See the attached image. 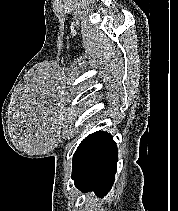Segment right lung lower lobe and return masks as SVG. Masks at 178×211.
<instances>
[{"label":"right lung lower lobe","mask_w":178,"mask_h":211,"mask_svg":"<svg viewBox=\"0 0 178 211\" xmlns=\"http://www.w3.org/2000/svg\"><path fill=\"white\" fill-rule=\"evenodd\" d=\"M117 154L116 144L109 133L95 132L86 137L73 158L72 179L77 188L105 196L114 182Z\"/></svg>","instance_id":"obj_1"}]
</instances>
